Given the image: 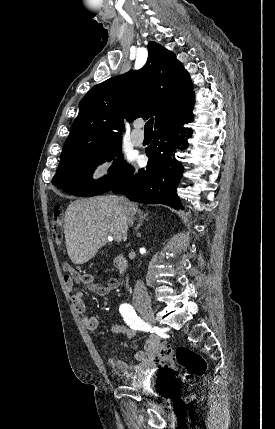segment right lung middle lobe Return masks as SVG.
<instances>
[{"label": "right lung middle lobe", "mask_w": 275, "mask_h": 429, "mask_svg": "<svg viewBox=\"0 0 275 429\" xmlns=\"http://www.w3.org/2000/svg\"><path fill=\"white\" fill-rule=\"evenodd\" d=\"M121 140L60 161L52 182L60 185L66 192L80 197L95 196L112 190L125 180L132 169L126 161H122V156L114 160L110 172L104 178L93 180L92 175L99 164L119 155Z\"/></svg>", "instance_id": "dd1d6c3e"}]
</instances>
